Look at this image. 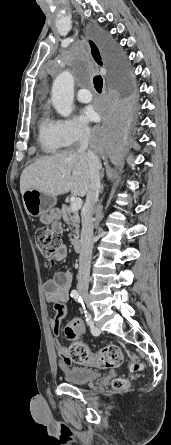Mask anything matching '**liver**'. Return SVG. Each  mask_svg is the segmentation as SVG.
Returning a JSON list of instances; mask_svg holds the SVG:
<instances>
[{
  "label": "liver",
  "mask_w": 171,
  "mask_h": 445,
  "mask_svg": "<svg viewBox=\"0 0 171 445\" xmlns=\"http://www.w3.org/2000/svg\"><path fill=\"white\" fill-rule=\"evenodd\" d=\"M90 171L85 152L66 150L45 156L26 167L20 177L21 194L29 189L58 196H85L90 188Z\"/></svg>",
  "instance_id": "1"
}]
</instances>
